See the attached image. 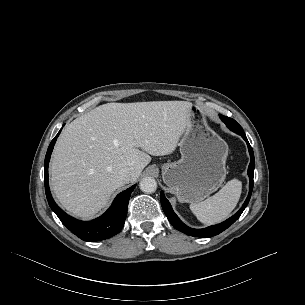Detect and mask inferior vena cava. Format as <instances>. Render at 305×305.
I'll use <instances>...</instances> for the list:
<instances>
[{
	"mask_svg": "<svg viewBox=\"0 0 305 305\" xmlns=\"http://www.w3.org/2000/svg\"><path fill=\"white\" fill-rule=\"evenodd\" d=\"M132 172L129 169H122L119 172V178L122 182L128 183L131 179Z\"/></svg>",
	"mask_w": 305,
	"mask_h": 305,
	"instance_id": "inferior-vena-cava-1",
	"label": "inferior vena cava"
}]
</instances>
